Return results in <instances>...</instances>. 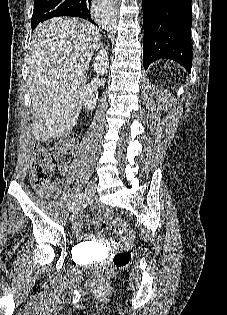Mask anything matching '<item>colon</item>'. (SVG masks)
<instances>
[{
  "mask_svg": "<svg viewBox=\"0 0 227 315\" xmlns=\"http://www.w3.org/2000/svg\"><path fill=\"white\" fill-rule=\"evenodd\" d=\"M76 145L77 138L72 134L51 139L47 143L35 144L30 172L32 185L38 190L48 189L52 172L60 163L70 159ZM110 224L113 233L127 239L134 238V234L125 220L114 218ZM130 261L131 253L128 250H121L113 256L112 260L99 267L98 276L106 278L115 268L126 266Z\"/></svg>",
  "mask_w": 227,
  "mask_h": 315,
  "instance_id": "obj_1",
  "label": "colon"
}]
</instances>
